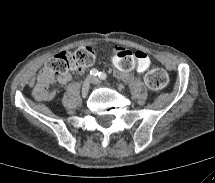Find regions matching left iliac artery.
I'll list each match as a JSON object with an SVG mask.
<instances>
[{
  "mask_svg": "<svg viewBox=\"0 0 215 183\" xmlns=\"http://www.w3.org/2000/svg\"><path fill=\"white\" fill-rule=\"evenodd\" d=\"M98 77L101 80H105L107 78V74L105 72H99Z\"/></svg>",
  "mask_w": 215,
  "mask_h": 183,
  "instance_id": "obj_1",
  "label": "left iliac artery"
}]
</instances>
